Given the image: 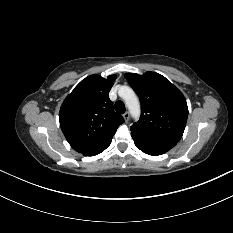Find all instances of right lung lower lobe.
<instances>
[{"instance_id":"right-lung-lower-lobe-1","label":"right lung lower lobe","mask_w":233,"mask_h":233,"mask_svg":"<svg viewBox=\"0 0 233 233\" xmlns=\"http://www.w3.org/2000/svg\"><path fill=\"white\" fill-rule=\"evenodd\" d=\"M112 139L110 141H108L107 143L95 148V149H91V150H88V151H85V152H82V154L84 156H94V155H97L99 153H101L102 151H104L111 143Z\"/></svg>"}]
</instances>
